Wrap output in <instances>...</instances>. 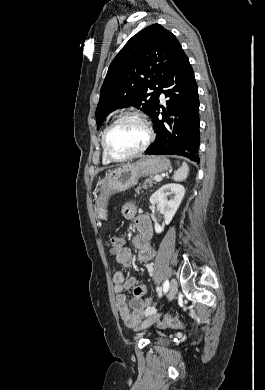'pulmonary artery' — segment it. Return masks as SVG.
Masks as SVG:
<instances>
[{"label":"pulmonary artery","mask_w":265,"mask_h":390,"mask_svg":"<svg viewBox=\"0 0 265 390\" xmlns=\"http://www.w3.org/2000/svg\"><path fill=\"white\" fill-rule=\"evenodd\" d=\"M161 98H162V99H164V96H163V94H161Z\"/></svg>","instance_id":"obj_1"}]
</instances>
